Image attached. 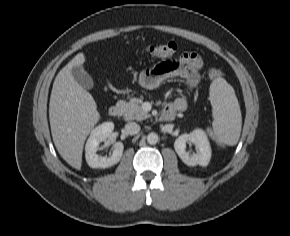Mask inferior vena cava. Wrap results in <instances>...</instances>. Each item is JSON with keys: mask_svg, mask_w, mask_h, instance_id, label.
<instances>
[{"mask_svg": "<svg viewBox=\"0 0 290 236\" xmlns=\"http://www.w3.org/2000/svg\"><path fill=\"white\" fill-rule=\"evenodd\" d=\"M125 130L130 135H135L139 133L140 126L135 122H129L125 125Z\"/></svg>", "mask_w": 290, "mask_h": 236, "instance_id": "inferior-vena-cava-1", "label": "inferior vena cava"}]
</instances>
